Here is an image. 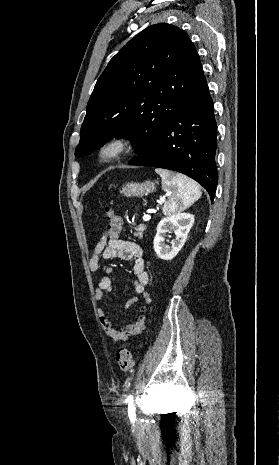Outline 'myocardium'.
Returning a JSON list of instances; mask_svg holds the SVG:
<instances>
[{
  "instance_id": "obj_1",
  "label": "myocardium",
  "mask_w": 279,
  "mask_h": 465,
  "mask_svg": "<svg viewBox=\"0 0 279 465\" xmlns=\"http://www.w3.org/2000/svg\"><path fill=\"white\" fill-rule=\"evenodd\" d=\"M130 135L119 133L106 139L98 149L99 158L103 162H111L126 154L132 147Z\"/></svg>"
}]
</instances>
